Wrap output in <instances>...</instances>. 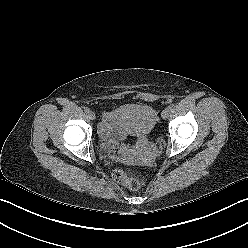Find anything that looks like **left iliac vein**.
I'll use <instances>...</instances> for the list:
<instances>
[{"label": "left iliac vein", "mask_w": 248, "mask_h": 248, "mask_svg": "<svg viewBox=\"0 0 248 248\" xmlns=\"http://www.w3.org/2000/svg\"><path fill=\"white\" fill-rule=\"evenodd\" d=\"M169 114H170V110L168 108H165L162 111L161 116H162L163 119H166V118H168Z\"/></svg>", "instance_id": "1"}]
</instances>
